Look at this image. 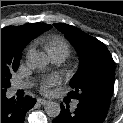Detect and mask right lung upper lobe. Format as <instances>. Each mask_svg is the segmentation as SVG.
I'll return each mask as SVG.
<instances>
[{"mask_svg": "<svg viewBox=\"0 0 123 123\" xmlns=\"http://www.w3.org/2000/svg\"><path fill=\"white\" fill-rule=\"evenodd\" d=\"M45 23H30L22 26H7L1 29V63L19 65L21 52L35 37L50 29Z\"/></svg>", "mask_w": 123, "mask_h": 123, "instance_id": "cb5924a9", "label": "right lung upper lobe"}]
</instances>
